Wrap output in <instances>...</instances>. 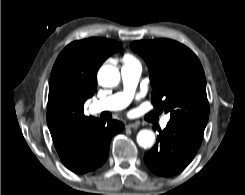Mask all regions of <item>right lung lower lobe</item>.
I'll return each instance as SVG.
<instances>
[{"label":"right lung lower lobe","instance_id":"1","mask_svg":"<svg viewBox=\"0 0 245 195\" xmlns=\"http://www.w3.org/2000/svg\"><path fill=\"white\" fill-rule=\"evenodd\" d=\"M124 129V124L113 120L106 124L101 120L94 122L86 131L79 150L63 164L77 174L94 171L105 163L109 153L110 141L115 133Z\"/></svg>","mask_w":245,"mask_h":195}]
</instances>
